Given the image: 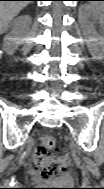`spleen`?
<instances>
[{"label": "spleen", "mask_w": 104, "mask_h": 189, "mask_svg": "<svg viewBox=\"0 0 104 189\" xmlns=\"http://www.w3.org/2000/svg\"><path fill=\"white\" fill-rule=\"evenodd\" d=\"M91 4L96 8H103L102 2H91Z\"/></svg>", "instance_id": "1"}]
</instances>
